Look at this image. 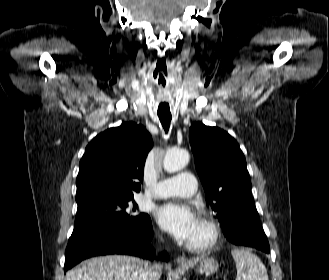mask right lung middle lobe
<instances>
[{
    "label": "right lung middle lobe",
    "mask_w": 329,
    "mask_h": 280,
    "mask_svg": "<svg viewBox=\"0 0 329 280\" xmlns=\"http://www.w3.org/2000/svg\"><path fill=\"white\" fill-rule=\"evenodd\" d=\"M76 201L78 208L72 234L102 224L136 233L151 221L147 214L138 213L133 197L92 195L78 198ZM130 201H133V207Z\"/></svg>",
    "instance_id": "dd1d6c3e"
}]
</instances>
